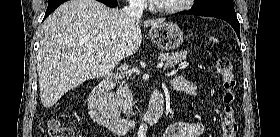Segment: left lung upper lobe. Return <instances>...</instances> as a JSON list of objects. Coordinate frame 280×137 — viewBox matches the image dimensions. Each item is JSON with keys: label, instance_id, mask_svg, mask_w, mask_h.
<instances>
[{"label": "left lung upper lobe", "instance_id": "obj_1", "mask_svg": "<svg viewBox=\"0 0 280 137\" xmlns=\"http://www.w3.org/2000/svg\"><path fill=\"white\" fill-rule=\"evenodd\" d=\"M191 10L196 11H224L235 13L233 0H198Z\"/></svg>", "mask_w": 280, "mask_h": 137}]
</instances>
